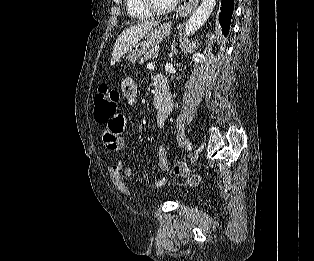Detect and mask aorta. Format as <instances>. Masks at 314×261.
Wrapping results in <instances>:
<instances>
[{
    "mask_svg": "<svg viewBox=\"0 0 314 261\" xmlns=\"http://www.w3.org/2000/svg\"><path fill=\"white\" fill-rule=\"evenodd\" d=\"M215 5L216 0H203L198 9L188 19L184 35L190 36L194 34V32L197 31L209 18Z\"/></svg>",
    "mask_w": 314,
    "mask_h": 261,
    "instance_id": "obj_1",
    "label": "aorta"
}]
</instances>
